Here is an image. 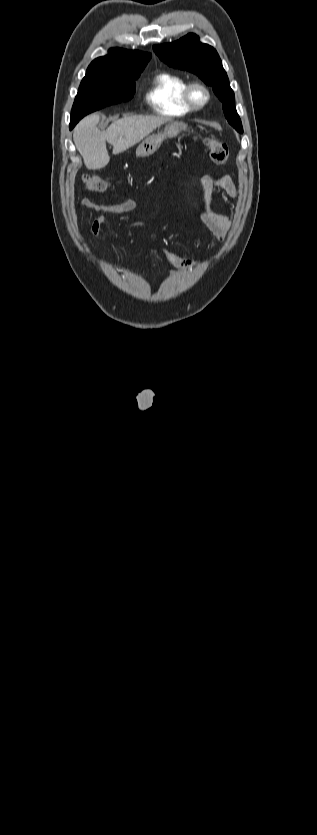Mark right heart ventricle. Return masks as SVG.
<instances>
[{"instance_id": "obj_1", "label": "right heart ventricle", "mask_w": 317, "mask_h": 835, "mask_svg": "<svg viewBox=\"0 0 317 835\" xmlns=\"http://www.w3.org/2000/svg\"><path fill=\"white\" fill-rule=\"evenodd\" d=\"M187 80L178 74L163 71L155 75L146 91V100L153 110L165 116H181L192 109L184 100Z\"/></svg>"}]
</instances>
